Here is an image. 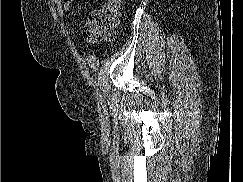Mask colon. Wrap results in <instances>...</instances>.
Here are the masks:
<instances>
[{
  "mask_svg": "<svg viewBox=\"0 0 243 182\" xmlns=\"http://www.w3.org/2000/svg\"><path fill=\"white\" fill-rule=\"evenodd\" d=\"M71 1L65 0V3L70 4ZM120 8L121 0H106L100 7L90 11L84 26V37L90 42L110 40L111 32L118 23Z\"/></svg>",
  "mask_w": 243,
  "mask_h": 182,
  "instance_id": "obj_1",
  "label": "colon"
}]
</instances>
